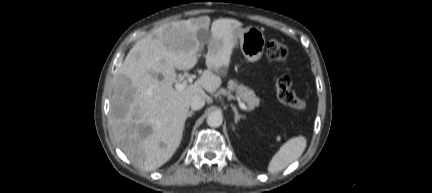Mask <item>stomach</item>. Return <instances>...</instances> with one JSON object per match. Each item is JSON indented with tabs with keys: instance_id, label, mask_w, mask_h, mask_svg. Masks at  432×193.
I'll list each match as a JSON object with an SVG mask.
<instances>
[{
	"instance_id": "0dacf381",
	"label": "stomach",
	"mask_w": 432,
	"mask_h": 193,
	"mask_svg": "<svg viewBox=\"0 0 432 193\" xmlns=\"http://www.w3.org/2000/svg\"><path fill=\"white\" fill-rule=\"evenodd\" d=\"M235 46L239 44L244 57L250 62L258 61L263 54L266 39L262 30L257 27L236 28L234 32Z\"/></svg>"
}]
</instances>
